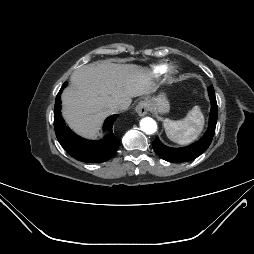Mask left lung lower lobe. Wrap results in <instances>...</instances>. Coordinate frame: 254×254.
Listing matches in <instances>:
<instances>
[{
	"label": "left lung lower lobe",
	"instance_id": "1",
	"mask_svg": "<svg viewBox=\"0 0 254 254\" xmlns=\"http://www.w3.org/2000/svg\"><path fill=\"white\" fill-rule=\"evenodd\" d=\"M211 100V112L209 118V127L205 135L196 143L183 148H171L162 144L159 138L152 143L154 151L164 160L173 163L191 161L200 156L209 147L215 134L217 123V102L213 86L208 88Z\"/></svg>",
	"mask_w": 254,
	"mask_h": 254
}]
</instances>
